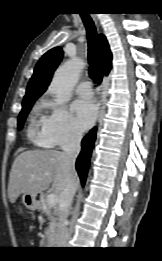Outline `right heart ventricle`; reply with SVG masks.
Segmentation results:
<instances>
[{"label":"right heart ventricle","mask_w":162,"mask_h":261,"mask_svg":"<svg viewBox=\"0 0 162 261\" xmlns=\"http://www.w3.org/2000/svg\"><path fill=\"white\" fill-rule=\"evenodd\" d=\"M40 110H41V105H37L33 110L32 118H31L33 125H35V123L37 122V118L40 113Z\"/></svg>","instance_id":"e07e8e85"}]
</instances>
